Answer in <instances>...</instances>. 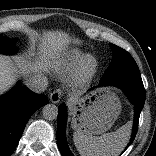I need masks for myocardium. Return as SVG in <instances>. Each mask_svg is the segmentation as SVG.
<instances>
[{"instance_id": "1", "label": "myocardium", "mask_w": 156, "mask_h": 156, "mask_svg": "<svg viewBox=\"0 0 156 156\" xmlns=\"http://www.w3.org/2000/svg\"><path fill=\"white\" fill-rule=\"evenodd\" d=\"M91 75V72L88 68H86L85 70H83V72L80 74V77H79V81L80 82H84L86 81Z\"/></svg>"}]
</instances>
